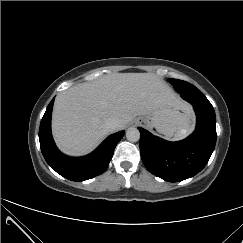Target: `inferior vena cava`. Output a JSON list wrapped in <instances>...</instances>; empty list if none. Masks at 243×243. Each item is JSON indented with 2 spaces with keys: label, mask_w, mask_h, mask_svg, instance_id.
<instances>
[{
  "label": "inferior vena cava",
  "mask_w": 243,
  "mask_h": 243,
  "mask_svg": "<svg viewBox=\"0 0 243 243\" xmlns=\"http://www.w3.org/2000/svg\"><path fill=\"white\" fill-rule=\"evenodd\" d=\"M119 126V120L117 118H109L106 121V127L110 130V131H114L118 128Z\"/></svg>",
  "instance_id": "1"
}]
</instances>
